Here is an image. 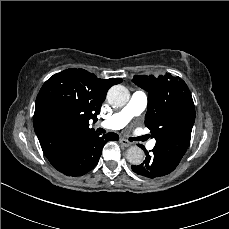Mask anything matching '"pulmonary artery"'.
I'll return each instance as SVG.
<instances>
[{"label":"pulmonary artery","instance_id":"obj_1","mask_svg":"<svg viewBox=\"0 0 229 229\" xmlns=\"http://www.w3.org/2000/svg\"><path fill=\"white\" fill-rule=\"evenodd\" d=\"M147 95L143 91L134 92L124 108L114 113L109 119L98 122L99 126L109 130H119L123 128L132 118L140 115L147 107ZM155 142L148 143V149H152Z\"/></svg>","mask_w":229,"mask_h":229}]
</instances>
